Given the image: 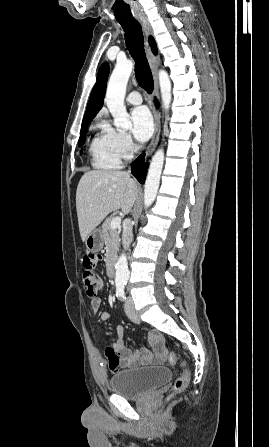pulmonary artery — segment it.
<instances>
[{
    "instance_id": "pulmonary-artery-1",
    "label": "pulmonary artery",
    "mask_w": 269,
    "mask_h": 447,
    "mask_svg": "<svg viewBox=\"0 0 269 447\" xmlns=\"http://www.w3.org/2000/svg\"><path fill=\"white\" fill-rule=\"evenodd\" d=\"M127 102L131 105H138L143 102L142 95L138 91H132L127 96Z\"/></svg>"
}]
</instances>
